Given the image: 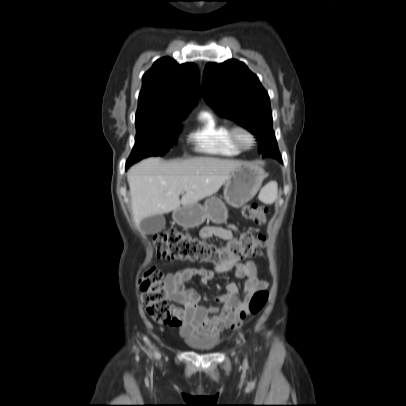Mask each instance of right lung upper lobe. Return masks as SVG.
<instances>
[{
	"label": "right lung upper lobe",
	"mask_w": 406,
	"mask_h": 406,
	"mask_svg": "<svg viewBox=\"0 0 406 406\" xmlns=\"http://www.w3.org/2000/svg\"><path fill=\"white\" fill-rule=\"evenodd\" d=\"M199 70L172 58L157 60L142 78L136 117L183 119L200 94Z\"/></svg>",
	"instance_id": "right-lung-upper-lobe-1"
}]
</instances>
